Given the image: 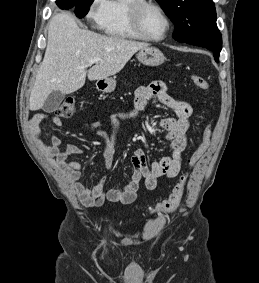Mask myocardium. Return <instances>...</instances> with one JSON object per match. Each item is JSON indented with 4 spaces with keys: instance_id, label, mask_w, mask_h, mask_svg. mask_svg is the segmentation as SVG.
Wrapping results in <instances>:
<instances>
[{
    "instance_id": "myocardium-1",
    "label": "myocardium",
    "mask_w": 259,
    "mask_h": 283,
    "mask_svg": "<svg viewBox=\"0 0 259 283\" xmlns=\"http://www.w3.org/2000/svg\"><path fill=\"white\" fill-rule=\"evenodd\" d=\"M149 8H153L159 11L166 21L167 24L166 32L160 38H153L149 36L145 32V29L143 27V14ZM129 13H130L132 27L141 38L150 42H161L164 41L169 36L172 29V21L166 10L160 4L150 0H135V2L131 4L129 8Z\"/></svg>"
}]
</instances>
